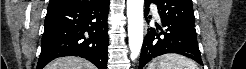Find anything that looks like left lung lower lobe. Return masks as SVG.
<instances>
[{
    "label": "left lung lower lobe",
    "mask_w": 246,
    "mask_h": 69,
    "mask_svg": "<svg viewBox=\"0 0 246 69\" xmlns=\"http://www.w3.org/2000/svg\"><path fill=\"white\" fill-rule=\"evenodd\" d=\"M150 3L152 2L145 0V18L147 22H149L147 15ZM160 18L162 27H165V29L163 30L160 26H157V31L154 28L148 29L142 45L139 69H143L153 58L167 53L181 54L203 65L195 26L174 22L161 15ZM158 29L161 32H158Z\"/></svg>",
    "instance_id": "1"
}]
</instances>
